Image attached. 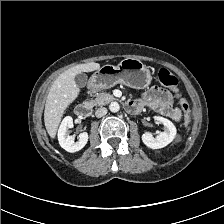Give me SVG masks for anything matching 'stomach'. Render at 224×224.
Segmentation results:
<instances>
[{
	"label": "stomach",
	"mask_w": 224,
	"mask_h": 224,
	"mask_svg": "<svg viewBox=\"0 0 224 224\" xmlns=\"http://www.w3.org/2000/svg\"><path fill=\"white\" fill-rule=\"evenodd\" d=\"M152 81V74L148 67L140 60L126 58L117 66L104 65L90 78V88L102 90L121 83L135 89L147 88Z\"/></svg>",
	"instance_id": "0dacf381"
}]
</instances>
